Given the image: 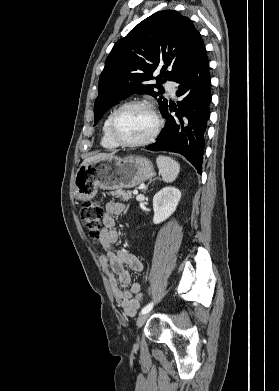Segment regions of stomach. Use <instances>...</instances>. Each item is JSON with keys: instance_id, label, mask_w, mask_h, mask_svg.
Segmentation results:
<instances>
[{"instance_id": "stomach-1", "label": "stomach", "mask_w": 279, "mask_h": 391, "mask_svg": "<svg viewBox=\"0 0 279 391\" xmlns=\"http://www.w3.org/2000/svg\"><path fill=\"white\" fill-rule=\"evenodd\" d=\"M153 174V165L145 157H112L93 161L78 169L74 181L75 195L79 200L89 201L96 196L98 189L132 188L148 180Z\"/></svg>"}]
</instances>
